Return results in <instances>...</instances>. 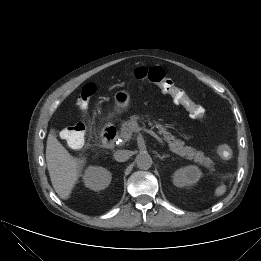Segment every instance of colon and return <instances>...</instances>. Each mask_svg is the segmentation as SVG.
Returning a JSON list of instances; mask_svg holds the SVG:
<instances>
[{
	"label": "colon",
	"mask_w": 261,
	"mask_h": 261,
	"mask_svg": "<svg viewBox=\"0 0 261 261\" xmlns=\"http://www.w3.org/2000/svg\"><path fill=\"white\" fill-rule=\"evenodd\" d=\"M134 76L137 79L148 80L158 85L163 92L171 95L177 104L184 106L193 117L200 119L205 117L204 109L200 105L194 103L187 96L185 90L178 87L162 67H140L135 70ZM95 92L96 86L93 83H87L82 87L77 101L81 110H86L88 108L89 102ZM85 134L86 126L82 122L74 123L62 130V137L67 144L74 149L81 148L84 145ZM217 153L223 160H230L234 155L232 147L227 143H221L217 148Z\"/></svg>",
	"instance_id": "obj_1"
}]
</instances>
